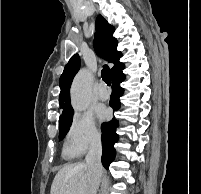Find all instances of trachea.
Here are the masks:
<instances>
[{
	"instance_id": "3493384b",
	"label": "trachea",
	"mask_w": 201,
	"mask_h": 194,
	"mask_svg": "<svg viewBox=\"0 0 201 194\" xmlns=\"http://www.w3.org/2000/svg\"><path fill=\"white\" fill-rule=\"evenodd\" d=\"M101 77L103 79V81L110 86L111 84V73H110V69L107 65H104L102 71H101Z\"/></svg>"
}]
</instances>
